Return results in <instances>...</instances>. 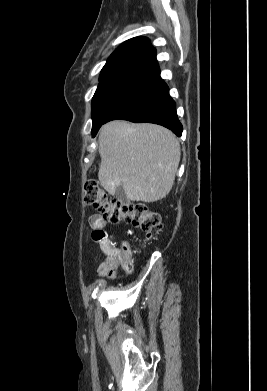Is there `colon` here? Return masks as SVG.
Wrapping results in <instances>:
<instances>
[{"instance_id": "1", "label": "colon", "mask_w": 267, "mask_h": 391, "mask_svg": "<svg viewBox=\"0 0 267 391\" xmlns=\"http://www.w3.org/2000/svg\"><path fill=\"white\" fill-rule=\"evenodd\" d=\"M84 203L98 210L110 223H128L139 229L147 236H151L161 226L160 216L143 203L125 204L111 198L105 189L94 180L88 181L84 187ZM95 240L104 238V232L95 231ZM117 262L123 270L132 267L131 254L124 245L121 253L117 255Z\"/></svg>"}]
</instances>
